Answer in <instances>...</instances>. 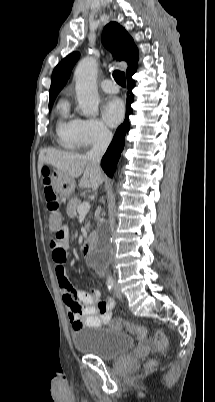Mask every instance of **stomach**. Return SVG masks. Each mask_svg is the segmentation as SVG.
<instances>
[{
    "instance_id": "1",
    "label": "stomach",
    "mask_w": 215,
    "mask_h": 402,
    "mask_svg": "<svg viewBox=\"0 0 215 402\" xmlns=\"http://www.w3.org/2000/svg\"><path fill=\"white\" fill-rule=\"evenodd\" d=\"M54 191L62 197H70L75 189V180L59 170H54L50 176Z\"/></svg>"
}]
</instances>
